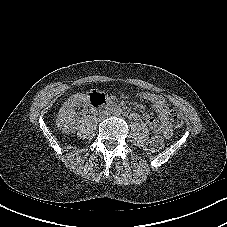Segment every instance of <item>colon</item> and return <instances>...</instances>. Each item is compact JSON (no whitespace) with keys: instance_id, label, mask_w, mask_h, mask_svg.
I'll return each mask as SVG.
<instances>
[{"instance_id":"colon-1","label":"colon","mask_w":227,"mask_h":227,"mask_svg":"<svg viewBox=\"0 0 227 227\" xmlns=\"http://www.w3.org/2000/svg\"><path fill=\"white\" fill-rule=\"evenodd\" d=\"M98 95H102L99 92L92 91L89 94L90 100ZM171 123L175 127H180L183 124V118L180 112L172 110L170 113ZM164 146V138L160 135L153 136L146 144V150L150 153L161 150Z\"/></svg>"}]
</instances>
